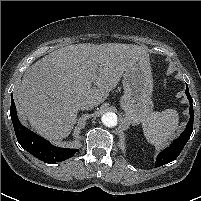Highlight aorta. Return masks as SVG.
I'll use <instances>...</instances> for the list:
<instances>
[{"label":"aorta","instance_id":"1","mask_svg":"<svg viewBox=\"0 0 201 201\" xmlns=\"http://www.w3.org/2000/svg\"><path fill=\"white\" fill-rule=\"evenodd\" d=\"M102 123L107 127H114L117 125V115L115 113H105L101 117Z\"/></svg>","mask_w":201,"mask_h":201}]
</instances>
